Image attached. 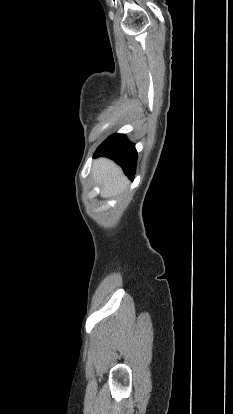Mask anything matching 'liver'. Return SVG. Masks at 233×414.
Returning a JSON list of instances; mask_svg holds the SVG:
<instances>
[{"label":"liver","instance_id":"liver-1","mask_svg":"<svg viewBox=\"0 0 233 414\" xmlns=\"http://www.w3.org/2000/svg\"><path fill=\"white\" fill-rule=\"evenodd\" d=\"M92 175L101 186V197L110 198L121 194L128 186V179L122 169L107 158L94 161Z\"/></svg>","mask_w":233,"mask_h":414}]
</instances>
